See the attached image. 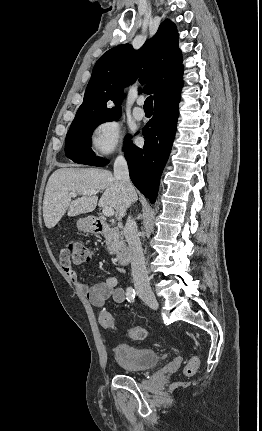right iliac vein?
<instances>
[{
    "label": "right iliac vein",
    "mask_w": 262,
    "mask_h": 431,
    "mask_svg": "<svg viewBox=\"0 0 262 431\" xmlns=\"http://www.w3.org/2000/svg\"><path fill=\"white\" fill-rule=\"evenodd\" d=\"M139 295L142 298V300H144L150 307L152 308L158 307L157 298L151 290L140 291Z\"/></svg>",
    "instance_id": "right-iliac-vein-1"
}]
</instances>
